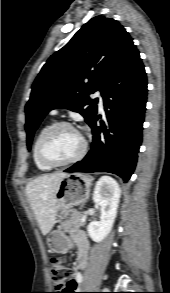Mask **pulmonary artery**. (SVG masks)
Returning a JSON list of instances; mask_svg holds the SVG:
<instances>
[{"label":"pulmonary artery","mask_w":170,"mask_h":293,"mask_svg":"<svg viewBox=\"0 0 170 293\" xmlns=\"http://www.w3.org/2000/svg\"><path fill=\"white\" fill-rule=\"evenodd\" d=\"M95 95L98 97V99H99V102H98V104H99V108L100 109H102L103 108V98H102V93L100 92V91H97L96 93H95ZM54 113H55V111H54Z\"/></svg>","instance_id":"1"}]
</instances>
